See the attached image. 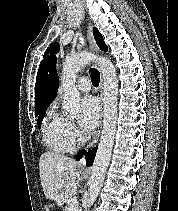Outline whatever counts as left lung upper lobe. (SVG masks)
Instances as JSON below:
<instances>
[{"instance_id":"left-lung-upper-lobe-1","label":"left lung upper lobe","mask_w":178,"mask_h":211,"mask_svg":"<svg viewBox=\"0 0 178 211\" xmlns=\"http://www.w3.org/2000/svg\"><path fill=\"white\" fill-rule=\"evenodd\" d=\"M93 34L95 36V40L99 46V48L102 50V51H107L108 48L106 46V44L104 43V39L102 37V35L100 34V32L97 30V28H94L93 29ZM54 52V53H58L59 51V44L57 42L53 43L45 52L44 56H46L49 52Z\"/></svg>"}]
</instances>
